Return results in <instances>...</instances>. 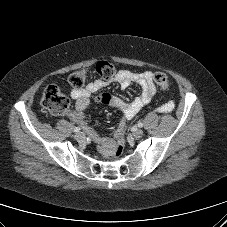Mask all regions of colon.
<instances>
[{
	"instance_id": "colon-1",
	"label": "colon",
	"mask_w": 227,
	"mask_h": 227,
	"mask_svg": "<svg viewBox=\"0 0 227 227\" xmlns=\"http://www.w3.org/2000/svg\"><path fill=\"white\" fill-rule=\"evenodd\" d=\"M96 72L103 80H111L118 73V67L108 61H100L96 65ZM87 78V72L85 70H78L72 73L69 77V83L74 88H81ZM154 82L160 90H164L168 86V77L163 72H156L154 74ZM42 108L52 115L65 114L70 106L68 97L55 85H49L41 99ZM124 140L123 131L119 134L118 145L115 151V157L118 159L123 154Z\"/></svg>"
}]
</instances>
